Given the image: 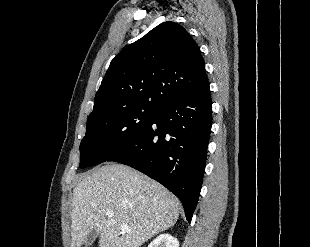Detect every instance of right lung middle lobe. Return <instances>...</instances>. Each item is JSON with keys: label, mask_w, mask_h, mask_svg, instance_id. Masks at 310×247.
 I'll return each mask as SVG.
<instances>
[{"label": "right lung middle lobe", "mask_w": 310, "mask_h": 247, "mask_svg": "<svg viewBox=\"0 0 310 247\" xmlns=\"http://www.w3.org/2000/svg\"><path fill=\"white\" fill-rule=\"evenodd\" d=\"M155 112L154 109L126 108L89 119L80 144V167L105 162L131 145Z\"/></svg>", "instance_id": "1"}]
</instances>
